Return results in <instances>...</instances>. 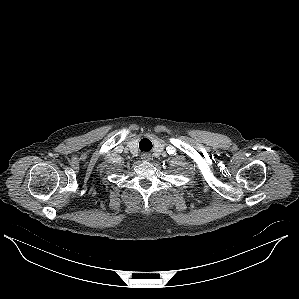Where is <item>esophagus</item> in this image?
<instances>
[{
    "label": "esophagus",
    "instance_id": "1",
    "mask_svg": "<svg viewBox=\"0 0 299 299\" xmlns=\"http://www.w3.org/2000/svg\"><path fill=\"white\" fill-rule=\"evenodd\" d=\"M141 159L144 161V162H148L152 159V156L150 153H143L141 155Z\"/></svg>",
    "mask_w": 299,
    "mask_h": 299
}]
</instances>
